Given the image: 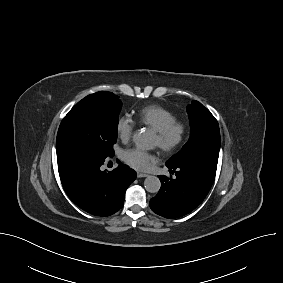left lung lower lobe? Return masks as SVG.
I'll list each match as a JSON object with an SVG mask.
<instances>
[{
    "label": "left lung lower lobe",
    "instance_id": "obj_1",
    "mask_svg": "<svg viewBox=\"0 0 283 283\" xmlns=\"http://www.w3.org/2000/svg\"><path fill=\"white\" fill-rule=\"evenodd\" d=\"M176 178L159 176L161 188L150 200V208L165 218L182 217L193 211L208 194L214 178L194 166L166 164Z\"/></svg>",
    "mask_w": 283,
    "mask_h": 283
}]
</instances>
